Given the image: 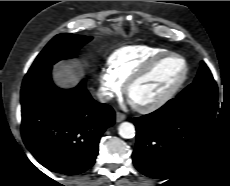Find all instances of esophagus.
<instances>
[{
  "label": "esophagus",
  "instance_id": "34e87169",
  "mask_svg": "<svg viewBox=\"0 0 230 186\" xmlns=\"http://www.w3.org/2000/svg\"><path fill=\"white\" fill-rule=\"evenodd\" d=\"M125 115L123 114V113H121V112H117L116 113V121L117 122H121V121H123L124 119H125Z\"/></svg>",
  "mask_w": 230,
  "mask_h": 186
}]
</instances>
